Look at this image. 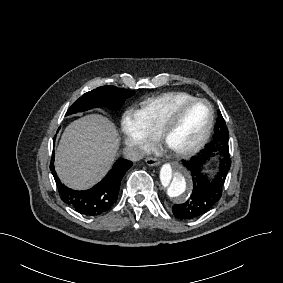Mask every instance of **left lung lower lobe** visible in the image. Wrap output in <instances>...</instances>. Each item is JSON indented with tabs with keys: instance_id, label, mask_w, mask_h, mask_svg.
Wrapping results in <instances>:
<instances>
[{
	"instance_id": "1",
	"label": "left lung lower lobe",
	"mask_w": 283,
	"mask_h": 283,
	"mask_svg": "<svg viewBox=\"0 0 283 283\" xmlns=\"http://www.w3.org/2000/svg\"><path fill=\"white\" fill-rule=\"evenodd\" d=\"M213 140L205 150L188 161L184 166L192 175L193 190L190 198L183 204H175L172 211L178 219H194L210 210L221 198L223 185L230 169L231 160L228 146V129L221 113H218ZM216 154L219 170L214 177L203 173L202 165Z\"/></svg>"
}]
</instances>
